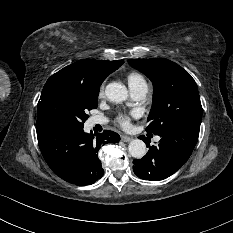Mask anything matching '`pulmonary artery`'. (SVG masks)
Returning <instances> with one entry per match:
<instances>
[{"instance_id": "1", "label": "pulmonary artery", "mask_w": 233, "mask_h": 233, "mask_svg": "<svg viewBox=\"0 0 233 233\" xmlns=\"http://www.w3.org/2000/svg\"><path fill=\"white\" fill-rule=\"evenodd\" d=\"M147 90H148L147 86H145V85L130 88L131 95L135 100L144 99L146 94H147ZM93 123L94 124H103V123H105V120L100 119V118H95V119H93ZM155 140L158 141L159 137H156Z\"/></svg>"}]
</instances>
